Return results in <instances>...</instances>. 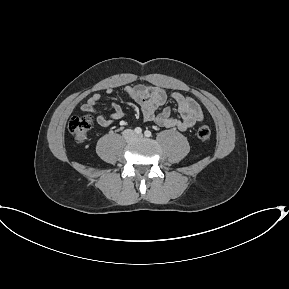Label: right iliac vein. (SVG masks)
<instances>
[{
  "instance_id": "63e3f726",
  "label": "right iliac vein",
  "mask_w": 289,
  "mask_h": 289,
  "mask_svg": "<svg viewBox=\"0 0 289 289\" xmlns=\"http://www.w3.org/2000/svg\"><path fill=\"white\" fill-rule=\"evenodd\" d=\"M125 136H126L127 139H131L133 137V135H132V133L130 131H127L125 133Z\"/></svg>"
}]
</instances>
